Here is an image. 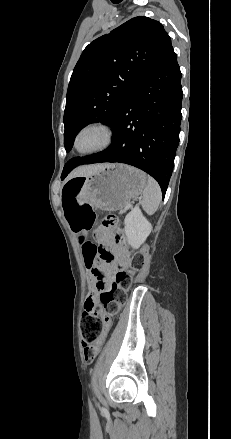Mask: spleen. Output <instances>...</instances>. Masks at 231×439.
<instances>
[{
	"mask_svg": "<svg viewBox=\"0 0 231 439\" xmlns=\"http://www.w3.org/2000/svg\"><path fill=\"white\" fill-rule=\"evenodd\" d=\"M161 195L159 184L152 177L148 176L141 200V206L148 215H152L157 211Z\"/></svg>",
	"mask_w": 231,
	"mask_h": 439,
	"instance_id": "1",
	"label": "spleen"
}]
</instances>
